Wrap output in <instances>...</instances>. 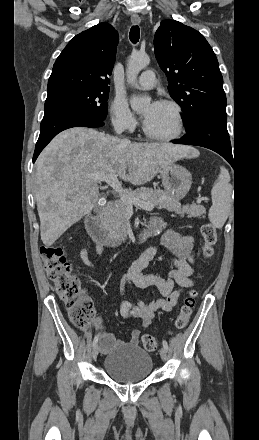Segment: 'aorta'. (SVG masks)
I'll use <instances>...</instances> for the list:
<instances>
[{"mask_svg":"<svg viewBox=\"0 0 259 440\" xmlns=\"http://www.w3.org/2000/svg\"><path fill=\"white\" fill-rule=\"evenodd\" d=\"M150 63V58L147 54L135 53L129 58L127 64V82L133 84L137 80L139 72L147 67ZM151 101L148 95H134L130 99L131 108L134 111H141Z\"/></svg>","mask_w":259,"mask_h":440,"instance_id":"aorta-1","label":"aorta"}]
</instances>
